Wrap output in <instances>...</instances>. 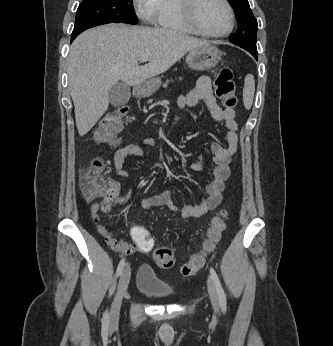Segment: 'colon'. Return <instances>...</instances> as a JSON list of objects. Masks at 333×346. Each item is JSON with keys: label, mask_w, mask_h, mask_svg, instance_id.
Returning a JSON list of instances; mask_svg holds the SVG:
<instances>
[{"label": "colon", "mask_w": 333, "mask_h": 346, "mask_svg": "<svg viewBox=\"0 0 333 346\" xmlns=\"http://www.w3.org/2000/svg\"><path fill=\"white\" fill-rule=\"evenodd\" d=\"M216 96L223 100L227 109H234L237 104L236 86L233 72L229 68H222L214 83ZM128 108L119 107L107 113L98 124L94 140L99 144H111L122 130ZM106 164L96 159L81 173L80 187L85 199L89 202H101L110 194L109 179L105 177ZM227 212L220 211L211 221L202 251L193 255L181 269L185 276L194 275L205 263V255L210 252L221 239L225 230ZM130 237L136 241L139 254H150L153 251V260L161 268H170L174 265L173 250L166 246H157L156 240H151L144 226H129Z\"/></svg>", "instance_id": "5ec220e1"}]
</instances>
